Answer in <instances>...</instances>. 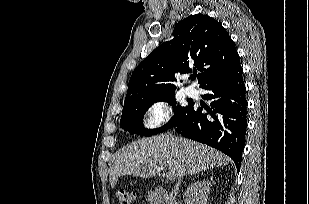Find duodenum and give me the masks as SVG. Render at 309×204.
Wrapping results in <instances>:
<instances>
[{"instance_id":"410a0bca","label":"duodenum","mask_w":309,"mask_h":204,"mask_svg":"<svg viewBox=\"0 0 309 204\" xmlns=\"http://www.w3.org/2000/svg\"><path fill=\"white\" fill-rule=\"evenodd\" d=\"M169 196L162 186H156L152 193V204H168Z\"/></svg>"}]
</instances>
